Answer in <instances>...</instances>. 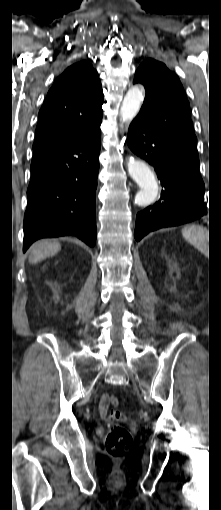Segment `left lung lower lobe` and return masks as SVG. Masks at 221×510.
<instances>
[{
  "label": "left lung lower lobe",
  "mask_w": 221,
  "mask_h": 510,
  "mask_svg": "<svg viewBox=\"0 0 221 510\" xmlns=\"http://www.w3.org/2000/svg\"><path fill=\"white\" fill-rule=\"evenodd\" d=\"M127 143L137 156L154 167L164 187L159 201L137 214L134 233L137 241L151 231L192 222L207 214L198 154L160 137L138 117L130 124Z\"/></svg>",
  "instance_id": "left-lung-lower-lobe-1"
}]
</instances>
